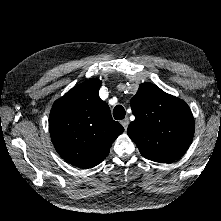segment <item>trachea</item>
<instances>
[{
	"instance_id": "obj_1",
	"label": "trachea",
	"mask_w": 221,
	"mask_h": 221,
	"mask_svg": "<svg viewBox=\"0 0 221 221\" xmlns=\"http://www.w3.org/2000/svg\"><path fill=\"white\" fill-rule=\"evenodd\" d=\"M113 117L116 120H122L125 117V109L122 105H116L113 110Z\"/></svg>"
}]
</instances>
